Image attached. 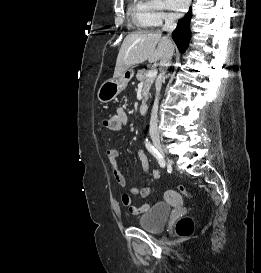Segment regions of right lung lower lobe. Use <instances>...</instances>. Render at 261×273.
<instances>
[{"label": "right lung lower lobe", "instance_id": "right-lung-lower-lobe-1", "mask_svg": "<svg viewBox=\"0 0 261 273\" xmlns=\"http://www.w3.org/2000/svg\"><path fill=\"white\" fill-rule=\"evenodd\" d=\"M192 17L191 10L179 20L176 29L172 33V38L175 41L180 52H184L188 47L191 37L190 20Z\"/></svg>", "mask_w": 261, "mask_h": 273}]
</instances>
